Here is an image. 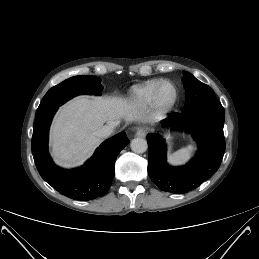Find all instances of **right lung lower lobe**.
I'll return each mask as SVG.
<instances>
[{"mask_svg":"<svg viewBox=\"0 0 259 259\" xmlns=\"http://www.w3.org/2000/svg\"><path fill=\"white\" fill-rule=\"evenodd\" d=\"M57 108L36 116L32 137V154L42 176L60 194L74 200H93L103 196L111 186L115 161L129 143L121 132L100 145L91 159L74 170L58 168L48 154V130Z\"/></svg>","mask_w":259,"mask_h":259,"instance_id":"obj_1","label":"right lung lower lobe"}]
</instances>
